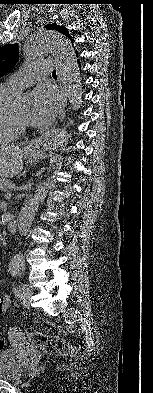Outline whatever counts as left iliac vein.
Segmentation results:
<instances>
[{
  "mask_svg": "<svg viewBox=\"0 0 153 393\" xmlns=\"http://www.w3.org/2000/svg\"><path fill=\"white\" fill-rule=\"evenodd\" d=\"M32 291L33 289L31 286H26L25 290L22 293L23 306L26 308H30L31 306L30 297L32 295Z\"/></svg>",
  "mask_w": 153,
  "mask_h": 393,
  "instance_id": "obj_1",
  "label": "left iliac vein"
}]
</instances>
